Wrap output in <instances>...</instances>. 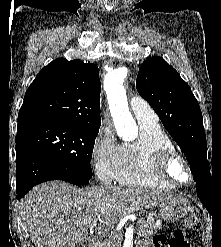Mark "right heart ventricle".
Instances as JSON below:
<instances>
[{
	"mask_svg": "<svg viewBox=\"0 0 221 247\" xmlns=\"http://www.w3.org/2000/svg\"><path fill=\"white\" fill-rule=\"evenodd\" d=\"M160 148L175 149L170 137L157 124L140 123V135L134 142L120 146L115 179L124 186L174 189L175 185L159 178L152 168V155Z\"/></svg>",
	"mask_w": 221,
	"mask_h": 247,
	"instance_id": "right-heart-ventricle-1",
	"label": "right heart ventricle"
}]
</instances>
